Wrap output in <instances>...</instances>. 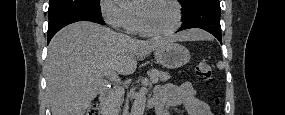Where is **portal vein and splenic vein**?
<instances>
[{"mask_svg": "<svg viewBox=\"0 0 285 115\" xmlns=\"http://www.w3.org/2000/svg\"><path fill=\"white\" fill-rule=\"evenodd\" d=\"M112 79L116 80V79H117V76H113Z\"/></svg>", "mask_w": 285, "mask_h": 115, "instance_id": "18ae733b", "label": "portal vein and splenic vein"}]
</instances>
